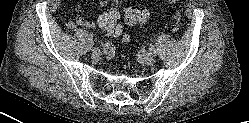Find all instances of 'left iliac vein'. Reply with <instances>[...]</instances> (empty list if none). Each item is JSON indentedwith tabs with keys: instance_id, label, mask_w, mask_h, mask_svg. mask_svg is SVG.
<instances>
[{
	"instance_id": "obj_1",
	"label": "left iliac vein",
	"mask_w": 249,
	"mask_h": 123,
	"mask_svg": "<svg viewBox=\"0 0 249 123\" xmlns=\"http://www.w3.org/2000/svg\"><path fill=\"white\" fill-rule=\"evenodd\" d=\"M143 60L148 65H152L153 62H154V58H153V56L150 53H145L143 55Z\"/></svg>"
}]
</instances>
